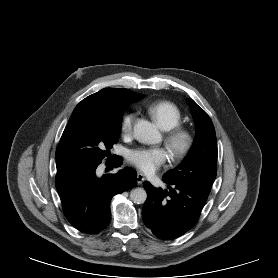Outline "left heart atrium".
Instances as JSON below:
<instances>
[{
  "label": "left heart atrium",
  "instance_id": "obj_1",
  "mask_svg": "<svg viewBox=\"0 0 278 278\" xmlns=\"http://www.w3.org/2000/svg\"><path fill=\"white\" fill-rule=\"evenodd\" d=\"M167 152L160 147L134 149L129 153V161L140 171L154 174L167 160Z\"/></svg>",
  "mask_w": 278,
  "mask_h": 278
}]
</instances>
